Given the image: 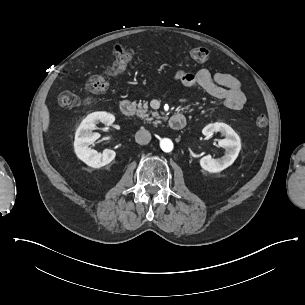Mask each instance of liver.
Instances as JSON below:
<instances>
[{"mask_svg": "<svg viewBox=\"0 0 305 305\" xmlns=\"http://www.w3.org/2000/svg\"><path fill=\"white\" fill-rule=\"evenodd\" d=\"M42 121H43V131L47 135L50 128L51 118H50V111L46 103H44L42 107Z\"/></svg>", "mask_w": 305, "mask_h": 305, "instance_id": "liver-1", "label": "liver"}]
</instances>
